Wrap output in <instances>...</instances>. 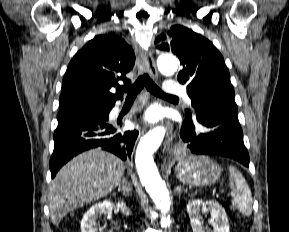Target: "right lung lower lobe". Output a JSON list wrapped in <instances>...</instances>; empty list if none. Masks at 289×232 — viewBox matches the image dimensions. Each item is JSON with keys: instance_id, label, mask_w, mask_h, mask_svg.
<instances>
[{"instance_id": "obj_1", "label": "right lung lower lobe", "mask_w": 289, "mask_h": 232, "mask_svg": "<svg viewBox=\"0 0 289 232\" xmlns=\"http://www.w3.org/2000/svg\"><path fill=\"white\" fill-rule=\"evenodd\" d=\"M108 116L109 114L103 118L59 121L54 133V151L50 158L52 178L72 157L94 147H102L122 160L130 157L138 132H117L115 126L107 123Z\"/></svg>"}]
</instances>
